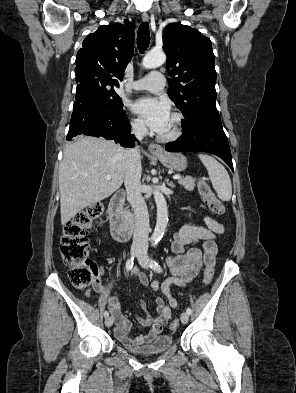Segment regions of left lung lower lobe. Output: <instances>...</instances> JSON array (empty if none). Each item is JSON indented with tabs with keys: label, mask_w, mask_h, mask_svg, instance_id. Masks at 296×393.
<instances>
[{
	"label": "left lung lower lobe",
	"mask_w": 296,
	"mask_h": 393,
	"mask_svg": "<svg viewBox=\"0 0 296 393\" xmlns=\"http://www.w3.org/2000/svg\"><path fill=\"white\" fill-rule=\"evenodd\" d=\"M169 152H207L222 158L233 170L228 139L223 131L219 114L198 117L184 127L182 136L165 146Z\"/></svg>",
	"instance_id": "1"
}]
</instances>
